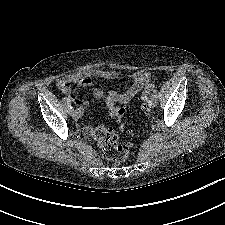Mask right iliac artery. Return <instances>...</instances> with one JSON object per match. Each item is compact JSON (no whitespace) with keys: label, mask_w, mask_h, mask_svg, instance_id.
I'll return each instance as SVG.
<instances>
[{"label":"right iliac artery","mask_w":225,"mask_h":225,"mask_svg":"<svg viewBox=\"0 0 225 225\" xmlns=\"http://www.w3.org/2000/svg\"><path fill=\"white\" fill-rule=\"evenodd\" d=\"M70 109H71V112L74 110V108L72 106L70 107Z\"/></svg>","instance_id":"right-iliac-artery-1"}]
</instances>
